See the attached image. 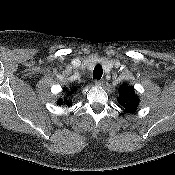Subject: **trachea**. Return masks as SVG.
<instances>
[{
  "mask_svg": "<svg viewBox=\"0 0 175 175\" xmlns=\"http://www.w3.org/2000/svg\"><path fill=\"white\" fill-rule=\"evenodd\" d=\"M103 74V69L100 64H97L93 70V79L100 80Z\"/></svg>",
  "mask_w": 175,
  "mask_h": 175,
  "instance_id": "trachea-1",
  "label": "trachea"
}]
</instances>
